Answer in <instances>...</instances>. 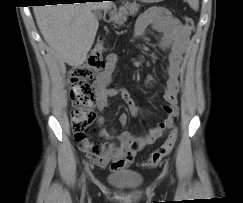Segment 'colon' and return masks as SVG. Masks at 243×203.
Instances as JSON below:
<instances>
[{
  "instance_id": "1",
  "label": "colon",
  "mask_w": 243,
  "mask_h": 203,
  "mask_svg": "<svg viewBox=\"0 0 243 203\" xmlns=\"http://www.w3.org/2000/svg\"><path fill=\"white\" fill-rule=\"evenodd\" d=\"M184 23L188 30L194 27L193 19L184 16ZM106 50V43L100 39L91 50L87 61L79 66L72 68L68 73L70 86L71 128L75 141L84 144L88 138L89 129L93 124L96 113L93 105L96 101V94L92 87V80L95 74L105 66L103 53ZM177 139V132L173 129L164 143L154 150L148 159L141 163L142 167H156L173 150Z\"/></svg>"
}]
</instances>
